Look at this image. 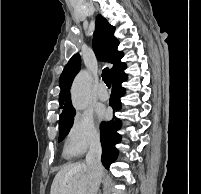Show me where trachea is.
Here are the masks:
<instances>
[{
	"label": "trachea",
	"mask_w": 201,
	"mask_h": 194,
	"mask_svg": "<svg viewBox=\"0 0 201 194\" xmlns=\"http://www.w3.org/2000/svg\"><path fill=\"white\" fill-rule=\"evenodd\" d=\"M102 79L108 87H111V75L110 70L108 68L103 69Z\"/></svg>",
	"instance_id": "1"
}]
</instances>
